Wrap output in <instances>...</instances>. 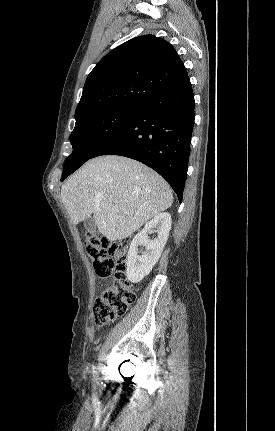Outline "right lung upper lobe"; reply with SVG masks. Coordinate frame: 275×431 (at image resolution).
<instances>
[{"instance_id": "right-lung-upper-lobe-1", "label": "right lung upper lobe", "mask_w": 275, "mask_h": 431, "mask_svg": "<svg viewBox=\"0 0 275 431\" xmlns=\"http://www.w3.org/2000/svg\"><path fill=\"white\" fill-rule=\"evenodd\" d=\"M187 75L167 41L153 35L136 37L105 55L88 75L75 119L113 107H140Z\"/></svg>"}]
</instances>
